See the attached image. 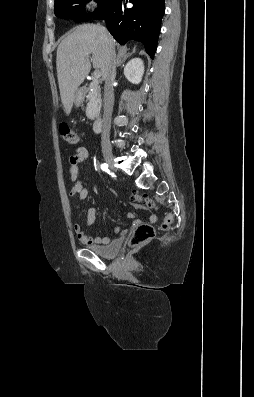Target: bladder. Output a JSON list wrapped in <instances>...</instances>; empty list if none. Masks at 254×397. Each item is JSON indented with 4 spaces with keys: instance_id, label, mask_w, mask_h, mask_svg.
Returning a JSON list of instances; mask_svg holds the SVG:
<instances>
[{
    "instance_id": "obj_1",
    "label": "bladder",
    "mask_w": 254,
    "mask_h": 397,
    "mask_svg": "<svg viewBox=\"0 0 254 397\" xmlns=\"http://www.w3.org/2000/svg\"><path fill=\"white\" fill-rule=\"evenodd\" d=\"M90 249L101 257L113 258L120 252L121 241L116 240L105 246H91Z\"/></svg>"
}]
</instances>
